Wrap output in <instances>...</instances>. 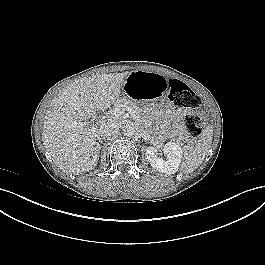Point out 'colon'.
<instances>
[{"mask_svg": "<svg viewBox=\"0 0 265 265\" xmlns=\"http://www.w3.org/2000/svg\"><path fill=\"white\" fill-rule=\"evenodd\" d=\"M169 91V100L177 107L197 109L201 105L199 97L185 83L179 80H168L166 83ZM185 126L193 136H199L204 129V116L200 111H195L185 118Z\"/></svg>", "mask_w": 265, "mask_h": 265, "instance_id": "5ec220e1", "label": "colon"}]
</instances>
